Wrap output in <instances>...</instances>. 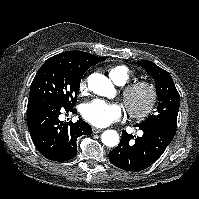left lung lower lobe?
Instances as JSON below:
<instances>
[{"label":"left lung lower lobe","mask_w":199,"mask_h":199,"mask_svg":"<svg viewBox=\"0 0 199 199\" xmlns=\"http://www.w3.org/2000/svg\"><path fill=\"white\" fill-rule=\"evenodd\" d=\"M141 137L122 131L119 145L109 152V161L126 171H141L151 166L170 144L175 132L162 126H140Z\"/></svg>","instance_id":"0a47b994"}]
</instances>
